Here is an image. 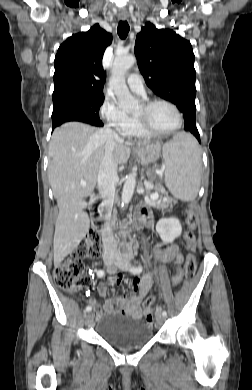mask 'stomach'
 <instances>
[{"label": "stomach", "instance_id": "1", "mask_svg": "<svg viewBox=\"0 0 252 390\" xmlns=\"http://www.w3.org/2000/svg\"><path fill=\"white\" fill-rule=\"evenodd\" d=\"M160 146L152 144L151 146H139L135 149V153L143 165H148L155 162L160 156Z\"/></svg>", "mask_w": 252, "mask_h": 390}]
</instances>
